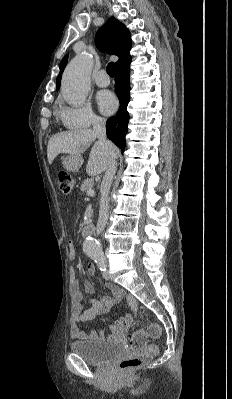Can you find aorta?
I'll list each match as a JSON object with an SVG mask.
<instances>
[{
  "label": "aorta",
  "instance_id": "1",
  "mask_svg": "<svg viewBox=\"0 0 232 399\" xmlns=\"http://www.w3.org/2000/svg\"><path fill=\"white\" fill-rule=\"evenodd\" d=\"M93 60L89 54L83 53L72 59L67 65L61 82V92L64 100L72 106L82 105L90 90V75ZM83 251L90 257L102 254L100 243L94 238H87Z\"/></svg>",
  "mask_w": 232,
  "mask_h": 399
}]
</instances>
